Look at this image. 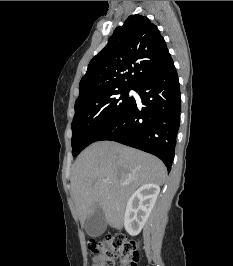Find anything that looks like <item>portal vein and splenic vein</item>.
I'll list each match as a JSON object with an SVG mask.
<instances>
[{
    "label": "portal vein and splenic vein",
    "mask_w": 233,
    "mask_h": 266,
    "mask_svg": "<svg viewBox=\"0 0 233 266\" xmlns=\"http://www.w3.org/2000/svg\"><path fill=\"white\" fill-rule=\"evenodd\" d=\"M105 183H107V182H109L107 179H105V180H103ZM125 183H123V185H124Z\"/></svg>",
    "instance_id": "18ae733b"
}]
</instances>
